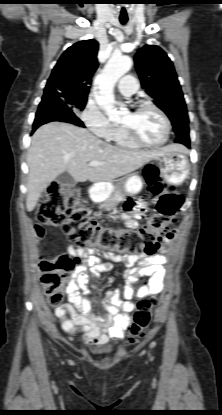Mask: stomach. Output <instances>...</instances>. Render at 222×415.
Returning a JSON list of instances; mask_svg holds the SVG:
<instances>
[{
    "label": "stomach",
    "instance_id": "0dacf381",
    "mask_svg": "<svg viewBox=\"0 0 222 415\" xmlns=\"http://www.w3.org/2000/svg\"><path fill=\"white\" fill-rule=\"evenodd\" d=\"M163 178L173 184H182L189 175V160L184 151H170L156 159ZM107 184L102 183L92 188L93 193L106 188ZM125 191L130 194H137L143 187L142 179L138 175H132L125 182Z\"/></svg>",
    "mask_w": 222,
    "mask_h": 415
}]
</instances>
